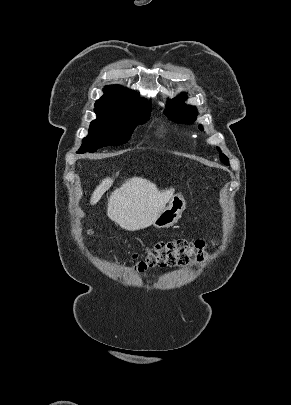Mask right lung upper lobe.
<instances>
[{
    "label": "right lung upper lobe",
    "mask_w": 291,
    "mask_h": 405,
    "mask_svg": "<svg viewBox=\"0 0 291 405\" xmlns=\"http://www.w3.org/2000/svg\"><path fill=\"white\" fill-rule=\"evenodd\" d=\"M104 93V96L96 101L95 111L133 112L151 108L146 99L137 98L134 91L121 86H106Z\"/></svg>",
    "instance_id": "1"
}]
</instances>
